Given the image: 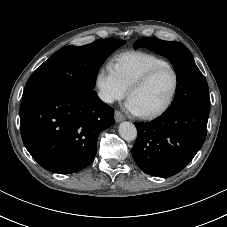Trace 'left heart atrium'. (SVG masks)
Masks as SVG:
<instances>
[{"mask_svg":"<svg viewBox=\"0 0 227 227\" xmlns=\"http://www.w3.org/2000/svg\"><path fill=\"white\" fill-rule=\"evenodd\" d=\"M125 107H126V109H127L129 112H131V113H133V114H140V113H141L140 110L138 109V107L136 106L135 102H134L131 98H129V99L126 101Z\"/></svg>","mask_w":227,"mask_h":227,"instance_id":"left-heart-atrium-1","label":"left heart atrium"}]
</instances>
